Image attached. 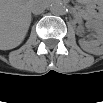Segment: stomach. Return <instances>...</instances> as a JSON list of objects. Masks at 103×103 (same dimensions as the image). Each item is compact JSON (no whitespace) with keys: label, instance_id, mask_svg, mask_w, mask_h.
Here are the masks:
<instances>
[{"label":"stomach","instance_id":"stomach-1","mask_svg":"<svg viewBox=\"0 0 103 103\" xmlns=\"http://www.w3.org/2000/svg\"><path fill=\"white\" fill-rule=\"evenodd\" d=\"M83 3H85V4L87 5L88 8L91 7V6L93 5V3L90 2V1H84Z\"/></svg>","mask_w":103,"mask_h":103}]
</instances>
